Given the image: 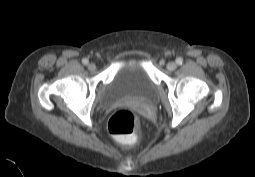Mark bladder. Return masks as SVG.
<instances>
[{
	"label": "bladder",
	"mask_w": 255,
	"mask_h": 177,
	"mask_svg": "<svg viewBox=\"0 0 255 177\" xmlns=\"http://www.w3.org/2000/svg\"><path fill=\"white\" fill-rule=\"evenodd\" d=\"M125 100L154 104L158 100V86L147 70L143 57L128 56L98 97V104L108 107Z\"/></svg>",
	"instance_id": "obj_1"
}]
</instances>
